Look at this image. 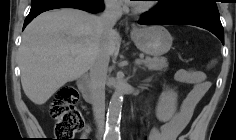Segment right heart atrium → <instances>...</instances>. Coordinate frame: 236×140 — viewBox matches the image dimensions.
<instances>
[{
    "mask_svg": "<svg viewBox=\"0 0 236 140\" xmlns=\"http://www.w3.org/2000/svg\"><path fill=\"white\" fill-rule=\"evenodd\" d=\"M106 6L108 7L109 10L114 12H118L122 9L120 3L115 0H107Z\"/></svg>",
    "mask_w": 236,
    "mask_h": 140,
    "instance_id": "right-heart-atrium-1",
    "label": "right heart atrium"
}]
</instances>
